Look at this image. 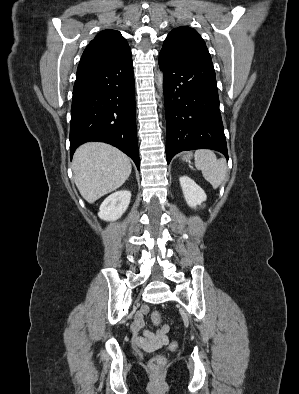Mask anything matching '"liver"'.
<instances>
[{
  "label": "liver",
  "instance_id": "obj_1",
  "mask_svg": "<svg viewBox=\"0 0 299 394\" xmlns=\"http://www.w3.org/2000/svg\"><path fill=\"white\" fill-rule=\"evenodd\" d=\"M75 184L88 203L118 189L128 179L130 159L117 148L105 143H86L73 157Z\"/></svg>",
  "mask_w": 299,
  "mask_h": 394
}]
</instances>
